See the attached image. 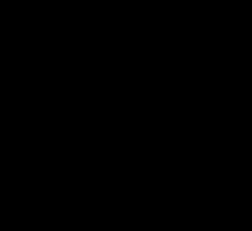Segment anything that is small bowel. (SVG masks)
<instances>
[{
    "mask_svg": "<svg viewBox=\"0 0 252 231\" xmlns=\"http://www.w3.org/2000/svg\"><path fill=\"white\" fill-rule=\"evenodd\" d=\"M179 104L182 108H185V109H190L194 112H198L201 110V106L200 105H189L185 102L184 98L183 97H179Z\"/></svg>",
    "mask_w": 252,
    "mask_h": 231,
    "instance_id": "small-bowel-1",
    "label": "small bowel"
}]
</instances>
